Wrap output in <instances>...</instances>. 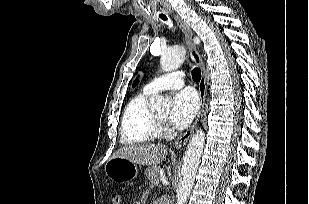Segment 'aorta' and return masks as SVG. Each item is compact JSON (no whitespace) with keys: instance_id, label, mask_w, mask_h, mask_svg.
<instances>
[{"instance_id":"762f6f07","label":"aorta","mask_w":309,"mask_h":204,"mask_svg":"<svg viewBox=\"0 0 309 204\" xmlns=\"http://www.w3.org/2000/svg\"><path fill=\"white\" fill-rule=\"evenodd\" d=\"M185 55L186 51L182 46H174L166 49L162 52L160 59L162 70L171 72L178 69L183 64ZM149 106L151 110L163 111L169 108V103L164 97L158 95L151 99ZM204 144L205 134L202 130H197L191 137L183 158L180 181L176 192V204H185L187 201L190 191L194 185Z\"/></svg>"}]
</instances>
